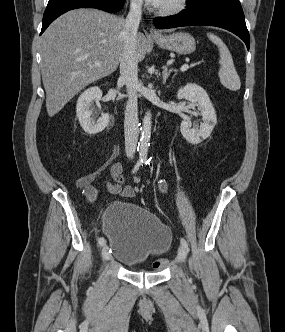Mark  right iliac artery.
<instances>
[{
	"label": "right iliac artery",
	"instance_id": "82829eb1",
	"mask_svg": "<svg viewBox=\"0 0 285 332\" xmlns=\"http://www.w3.org/2000/svg\"><path fill=\"white\" fill-rule=\"evenodd\" d=\"M142 161H138L137 162V164L134 166V169L132 170V173L134 174V173H136L137 171H138V169H139V167L142 165ZM98 243H99V245L100 246H103L104 244H105V239L103 238V237H100L99 239H98Z\"/></svg>",
	"mask_w": 285,
	"mask_h": 332
}]
</instances>
